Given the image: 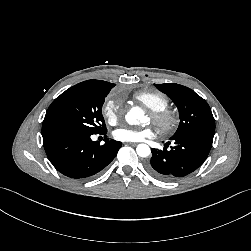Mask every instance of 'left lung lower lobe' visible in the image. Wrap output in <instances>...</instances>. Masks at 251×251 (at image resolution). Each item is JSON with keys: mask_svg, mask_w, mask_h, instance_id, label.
Here are the masks:
<instances>
[{"mask_svg": "<svg viewBox=\"0 0 251 251\" xmlns=\"http://www.w3.org/2000/svg\"><path fill=\"white\" fill-rule=\"evenodd\" d=\"M175 146L170 150L152 149L147 164L150 174L163 181H175L195 171L206 160L213 136L190 134L172 138ZM169 144V142H168Z\"/></svg>", "mask_w": 251, "mask_h": 251, "instance_id": "1", "label": "left lung lower lobe"}]
</instances>
